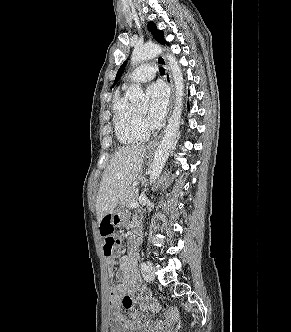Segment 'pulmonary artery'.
<instances>
[{
    "instance_id": "pulmonary-artery-1",
    "label": "pulmonary artery",
    "mask_w": 291,
    "mask_h": 332,
    "mask_svg": "<svg viewBox=\"0 0 291 332\" xmlns=\"http://www.w3.org/2000/svg\"><path fill=\"white\" fill-rule=\"evenodd\" d=\"M156 71V67L152 64L141 65L130 73L125 85L128 86L131 83L147 82L155 77Z\"/></svg>"
}]
</instances>
